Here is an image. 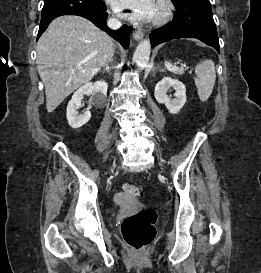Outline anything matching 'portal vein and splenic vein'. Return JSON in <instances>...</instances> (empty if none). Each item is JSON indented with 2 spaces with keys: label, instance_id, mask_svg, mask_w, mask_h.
<instances>
[{
  "label": "portal vein and splenic vein",
  "instance_id": "18ae733b",
  "mask_svg": "<svg viewBox=\"0 0 261 273\" xmlns=\"http://www.w3.org/2000/svg\"><path fill=\"white\" fill-rule=\"evenodd\" d=\"M181 66H182L183 68H185V67H186V65H185V64H182ZM190 73H191V71H190Z\"/></svg>",
  "mask_w": 261,
  "mask_h": 273
}]
</instances>
